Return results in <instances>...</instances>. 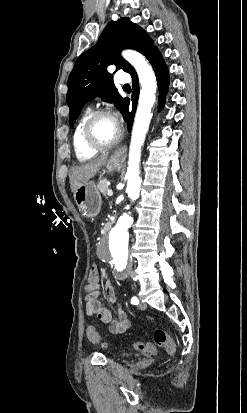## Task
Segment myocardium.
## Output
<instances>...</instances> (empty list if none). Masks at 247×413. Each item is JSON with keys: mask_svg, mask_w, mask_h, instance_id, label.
Listing matches in <instances>:
<instances>
[{"mask_svg": "<svg viewBox=\"0 0 247 413\" xmlns=\"http://www.w3.org/2000/svg\"><path fill=\"white\" fill-rule=\"evenodd\" d=\"M106 115V112L103 110H98L95 111L94 113H92L84 127L82 130V142L85 145L86 148L90 149V150H95V151H100V152H104V151H108L110 149H112L113 147H115L121 140V132L119 131L118 135L110 142L107 143H101L98 142L97 140H95L92 135H91V131H92V127L95 124V122L104 117Z\"/></svg>", "mask_w": 247, "mask_h": 413, "instance_id": "1", "label": "myocardium"}]
</instances>
